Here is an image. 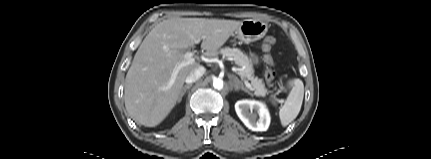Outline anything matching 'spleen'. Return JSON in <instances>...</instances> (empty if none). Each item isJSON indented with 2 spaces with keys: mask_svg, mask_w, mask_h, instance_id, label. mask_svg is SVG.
<instances>
[{
  "mask_svg": "<svg viewBox=\"0 0 431 159\" xmlns=\"http://www.w3.org/2000/svg\"><path fill=\"white\" fill-rule=\"evenodd\" d=\"M303 97L304 84L300 79H295L293 81V88L279 111L282 126L289 125L298 116L302 106Z\"/></svg>",
  "mask_w": 431,
  "mask_h": 159,
  "instance_id": "obj_1",
  "label": "spleen"
}]
</instances>
